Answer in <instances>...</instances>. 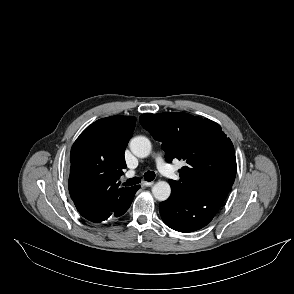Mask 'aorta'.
<instances>
[{
	"label": "aorta",
	"mask_w": 294,
	"mask_h": 294,
	"mask_svg": "<svg viewBox=\"0 0 294 294\" xmlns=\"http://www.w3.org/2000/svg\"><path fill=\"white\" fill-rule=\"evenodd\" d=\"M130 149L135 156L145 158L151 152V142L144 136H137L130 141ZM152 193L156 200L165 201L171 194L170 185L166 181H158L152 187Z\"/></svg>",
	"instance_id": "1"
}]
</instances>
